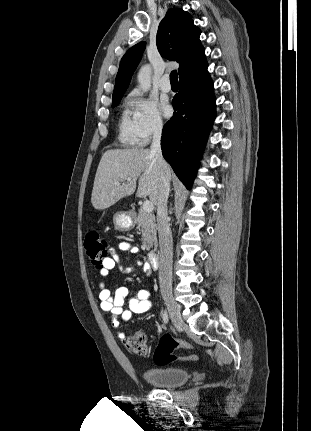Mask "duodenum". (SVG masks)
I'll list each match as a JSON object with an SVG mask.
<instances>
[{"mask_svg": "<svg viewBox=\"0 0 311 431\" xmlns=\"http://www.w3.org/2000/svg\"><path fill=\"white\" fill-rule=\"evenodd\" d=\"M148 258L153 267H157L159 265L160 254L157 248H153L148 253Z\"/></svg>", "mask_w": 311, "mask_h": 431, "instance_id": "obj_1", "label": "duodenum"}]
</instances>
